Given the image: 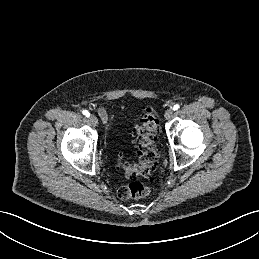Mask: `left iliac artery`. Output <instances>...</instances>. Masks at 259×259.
Returning <instances> with one entry per match:
<instances>
[{"label": "left iliac artery", "instance_id": "44dca946", "mask_svg": "<svg viewBox=\"0 0 259 259\" xmlns=\"http://www.w3.org/2000/svg\"><path fill=\"white\" fill-rule=\"evenodd\" d=\"M179 108H180V106H179L178 104H175V105L173 106V110H174V111L178 110Z\"/></svg>", "mask_w": 259, "mask_h": 259}]
</instances>
